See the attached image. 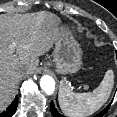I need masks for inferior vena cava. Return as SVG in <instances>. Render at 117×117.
<instances>
[{
    "instance_id": "602c4592",
    "label": "inferior vena cava",
    "mask_w": 117,
    "mask_h": 117,
    "mask_svg": "<svg viewBox=\"0 0 117 117\" xmlns=\"http://www.w3.org/2000/svg\"><path fill=\"white\" fill-rule=\"evenodd\" d=\"M25 71H27L25 68H22L20 72L23 74Z\"/></svg>"
}]
</instances>
